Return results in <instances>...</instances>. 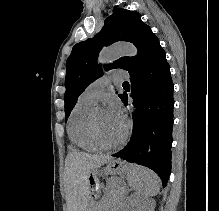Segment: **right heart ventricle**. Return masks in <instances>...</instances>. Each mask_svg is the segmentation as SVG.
I'll return each instance as SVG.
<instances>
[{"label": "right heart ventricle", "instance_id": "1", "mask_svg": "<svg viewBox=\"0 0 219 211\" xmlns=\"http://www.w3.org/2000/svg\"><path fill=\"white\" fill-rule=\"evenodd\" d=\"M95 103L78 99L68 118V135L77 146L87 151H101L105 148L93 137L89 127V116Z\"/></svg>", "mask_w": 219, "mask_h": 211}]
</instances>
